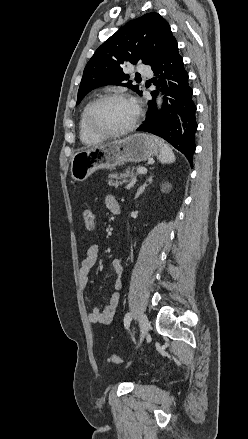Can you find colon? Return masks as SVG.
Returning <instances> with one entry per match:
<instances>
[{
  "instance_id": "1",
  "label": "colon",
  "mask_w": 248,
  "mask_h": 439,
  "mask_svg": "<svg viewBox=\"0 0 248 439\" xmlns=\"http://www.w3.org/2000/svg\"><path fill=\"white\" fill-rule=\"evenodd\" d=\"M83 222L87 230H92L94 228L95 214L90 208L84 210ZM109 361L115 364H121L123 362L122 358L116 354H111L109 356Z\"/></svg>"
}]
</instances>
